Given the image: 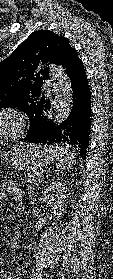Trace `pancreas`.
Wrapping results in <instances>:
<instances>
[{"mask_svg":"<svg viewBox=\"0 0 113 279\" xmlns=\"http://www.w3.org/2000/svg\"><path fill=\"white\" fill-rule=\"evenodd\" d=\"M42 178V173H29L27 177H25V182L32 184L36 183L38 180H41Z\"/></svg>","mask_w":113,"mask_h":279,"instance_id":"1","label":"pancreas"}]
</instances>
